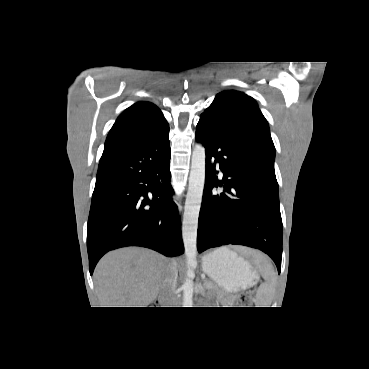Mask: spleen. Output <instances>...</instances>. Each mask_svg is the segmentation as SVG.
<instances>
[{
  "label": "spleen",
  "mask_w": 369,
  "mask_h": 369,
  "mask_svg": "<svg viewBox=\"0 0 369 369\" xmlns=\"http://www.w3.org/2000/svg\"><path fill=\"white\" fill-rule=\"evenodd\" d=\"M257 265L261 269L265 283L261 284L257 290V304L263 305L260 307H268L271 304L272 294L274 290L275 271L271 264H269L265 257L261 254L254 256Z\"/></svg>",
  "instance_id": "obj_1"
}]
</instances>
